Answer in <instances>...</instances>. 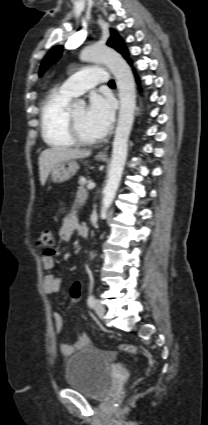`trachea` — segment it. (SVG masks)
Returning <instances> with one entry per match:
<instances>
[{
    "mask_svg": "<svg viewBox=\"0 0 208 425\" xmlns=\"http://www.w3.org/2000/svg\"><path fill=\"white\" fill-rule=\"evenodd\" d=\"M109 86H115V82L113 80L109 81Z\"/></svg>",
    "mask_w": 208,
    "mask_h": 425,
    "instance_id": "1",
    "label": "trachea"
}]
</instances>
